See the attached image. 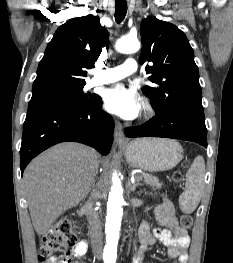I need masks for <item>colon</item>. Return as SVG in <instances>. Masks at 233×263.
Masks as SVG:
<instances>
[{
    "label": "colon",
    "instance_id": "5ec220e1",
    "mask_svg": "<svg viewBox=\"0 0 233 263\" xmlns=\"http://www.w3.org/2000/svg\"><path fill=\"white\" fill-rule=\"evenodd\" d=\"M188 165V162H185ZM180 225L189 229L192 218L189 215H181ZM78 243L77 236L73 231L71 220H62L55 229L48 231L42 238L39 248V260L41 263H62L70 259L71 253Z\"/></svg>",
    "mask_w": 233,
    "mask_h": 263
}]
</instances>
